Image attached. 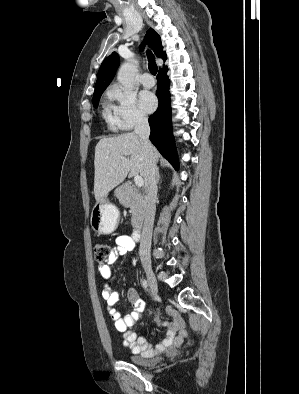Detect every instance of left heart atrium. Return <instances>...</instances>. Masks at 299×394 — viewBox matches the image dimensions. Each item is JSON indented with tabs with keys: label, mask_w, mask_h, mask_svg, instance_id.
I'll return each instance as SVG.
<instances>
[{
	"label": "left heart atrium",
	"mask_w": 299,
	"mask_h": 394,
	"mask_svg": "<svg viewBox=\"0 0 299 394\" xmlns=\"http://www.w3.org/2000/svg\"><path fill=\"white\" fill-rule=\"evenodd\" d=\"M140 107L146 113L153 112L157 107V99L154 94L149 91H142L140 93Z\"/></svg>",
	"instance_id": "obj_1"
}]
</instances>
